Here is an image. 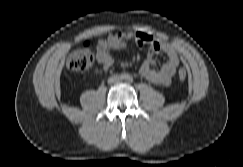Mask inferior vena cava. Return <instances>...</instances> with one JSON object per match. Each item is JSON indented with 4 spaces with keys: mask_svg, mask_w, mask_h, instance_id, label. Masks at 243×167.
<instances>
[{
    "mask_svg": "<svg viewBox=\"0 0 243 167\" xmlns=\"http://www.w3.org/2000/svg\"><path fill=\"white\" fill-rule=\"evenodd\" d=\"M120 81L119 77H115V78H110L109 79V83H118Z\"/></svg>",
    "mask_w": 243,
    "mask_h": 167,
    "instance_id": "1",
    "label": "inferior vena cava"
}]
</instances>
